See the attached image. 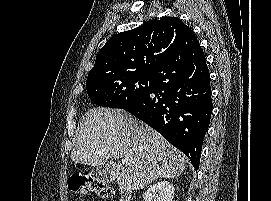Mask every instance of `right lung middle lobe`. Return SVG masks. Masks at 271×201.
I'll use <instances>...</instances> for the list:
<instances>
[{
    "instance_id": "dd1d6c3e",
    "label": "right lung middle lobe",
    "mask_w": 271,
    "mask_h": 201,
    "mask_svg": "<svg viewBox=\"0 0 271 201\" xmlns=\"http://www.w3.org/2000/svg\"><path fill=\"white\" fill-rule=\"evenodd\" d=\"M154 74L121 73L89 77L86 89L90 99L98 106L120 108L123 103L149 90Z\"/></svg>"
}]
</instances>
